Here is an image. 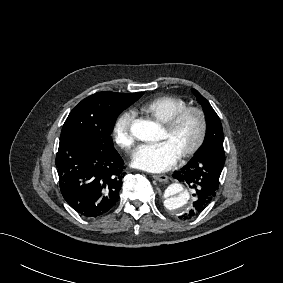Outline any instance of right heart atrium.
<instances>
[{"label":"right heart atrium","mask_w":283,"mask_h":283,"mask_svg":"<svg viewBox=\"0 0 283 283\" xmlns=\"http://www.w3.org/2000/svg\"><path fill=\"white\" fill-rule=\"evenodd\" d=\"M133 119V112L124 110L116 117L111 129L114 144L125 153H129L134 145L131 132Z\"/></svg>","instance_id":"obj_1"}]
</instances>
